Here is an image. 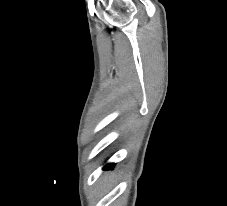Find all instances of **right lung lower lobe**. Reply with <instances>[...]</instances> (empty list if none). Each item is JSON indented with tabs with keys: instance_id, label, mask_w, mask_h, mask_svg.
I'll return each mask as SVG.
<instances>
[{
	"instance_id": "1",
	"label": "right lung lower lobe",
	"mask_w": 227,
	"mask_h": 206,
	"mask_svg": "<svg viewBox=\"0 0 227 206\" xmlns=\"http://www.w3.org/2000/svg\"><path fill=\"white\" fill-rule=\"evenodd\" d=\"M115 165L114 164H107L105 167H104V169H113V167H114Z\"/></svg>"
}]
</instances>
